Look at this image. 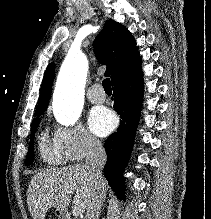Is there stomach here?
Returning a JSON list of instances; mask_svg holds the SVG:
<instances>
[{"mask_svg": "<svg viewBox=\"0 0 211 219\" xmlns=\"http://www.w3.org/2000/svg\"><path fill=\"white\" fill-rule=\"evenodd\" d=\"M55 213L59 214V216H61L63 214V212L61 210H59V209H57Z\"/></svg>", "mask_w": 211, "mask_h": 219, "instance_id": "0dacf381", "label": "stomach"}]
</instances>
